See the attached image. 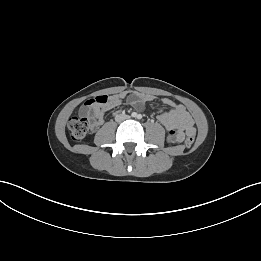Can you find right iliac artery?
Returning <instances> with one entry per match:
<instances>
[{
  "instance_id": "1",
  "label": "right iliac artery",
  "mask_w": 261,
  "mask_h": 261,
  "mask_svg": "<svg viewBox=\"0 0 261 261\" xmlns=\"http://www.w3.org/2000/svg\"><path fill=\"white\" fill-rule=\"evenodd\" d=\"M131 116H132V117H136L137 114H136L135 112H133V113L131 114Z\"/></svg>"
}]
</instances>
